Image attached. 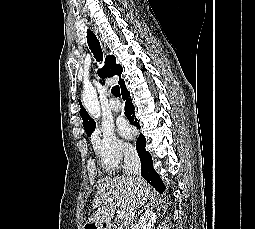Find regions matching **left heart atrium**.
Returning a JSON list of instances; mask_svg holds the SVG:
<instances>
[{
	"mask_svg": "<svg viewBox=\"0 0 255 229\" xmlns=\"http://www.w3.org/2000/svg\"><path fill=\"white\" fill-rule=\"evenodd\" d=\"M118 129L124 137L129 138L132 135V129L126 121L121 120L118 124Z\"/></svg>",
	"mask_w": 255,
	"mask_h": 229,
	"instance_id": "obj_1",
	"label": "left heart atrium"
}]
</instances>
